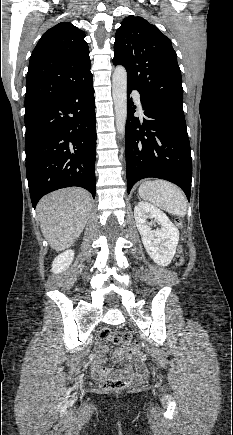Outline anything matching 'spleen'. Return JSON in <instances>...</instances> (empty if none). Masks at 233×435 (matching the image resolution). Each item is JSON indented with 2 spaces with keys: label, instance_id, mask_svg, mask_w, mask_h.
<instances>
[{
  "label": "spleen",
  "instance_id": "3e777b00",
  "mask_svg": "<svg viewBox=\"0 0 233 435\" xmlns=\"http://www.w3.org/2000/svg\"><path fill=\"white\" fill-rule=\"evenodd\" d=\"M139 196L175 216L187 213V199L176 185L166 180H147L138 189Z\"/></svg>",
  "mask_w": 233,
  "mask_h": 435
}]
</instances>
